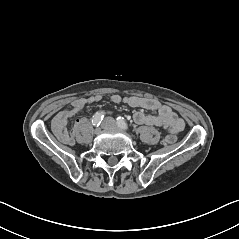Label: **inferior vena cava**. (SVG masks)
Listing matches in <instances>:
<instances>
[{
	"label": "inferior vena cava",
	"mask_w": 239,
	"mask_h": 239,
	"mask_svg": "<svg viewBox=\"0 0 239 239\" xmlns=\"http://www.w3.org/2000/svg\"><path fill=\"white\" fill-rule=\"evenodd\" d=\"M101 127L104 131L110 132L115 129L116 123L112 116L105 117L102 119V122L100 123Z\"/></svg>",
	"instance_id": "1"
}]
</instances>
